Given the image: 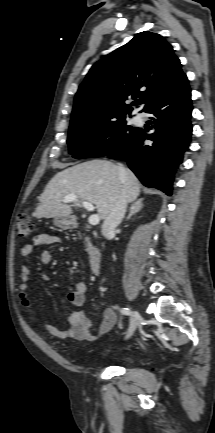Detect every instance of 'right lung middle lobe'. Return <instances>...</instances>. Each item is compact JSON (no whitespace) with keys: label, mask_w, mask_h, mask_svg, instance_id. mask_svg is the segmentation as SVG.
I'll list each match as a JSON object with an SVG mask.
<instances>
[{"label":"right lung middle lobe","mask_w":215,"mask_h":433,"mask_svg":"<svg viewBox=\"0 0 215 433\" xmlns=\"http://www.w3.org/2000/svg\"><path fill=\"white\" fill-rule=\"evenodd\" d=\"M126 117L88 124L70 125L67 143L74 158L102 157L123 147L137 130Z\"/></svg>","instance_id":"right-lung-middle-lobe-1"}]
</instances>
